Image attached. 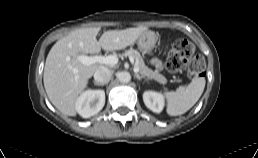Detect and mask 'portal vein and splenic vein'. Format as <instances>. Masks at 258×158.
I'll list each match as a JSON object with an SVG mask.
<instances>
[{
	"instance_id": "obj_1",
	"label": "portal vein and splenic vein",
	"mask_w": 258,
	"mask_h": 158,
	"mask_svg": "<svg viewBox=\"0 0 258 158\" xmlns=\"http://www.w3.org/2000/svg\"><path fill=\"white\" fill-rule=\"evenodd\" d=\"M130 61L134 63V59L132 56L129 57ZM79 61L85 65H91L95 63L99 64H105V65H110L113 66L118 63V58L114 55H109V56H101V55H96V56H87V55H80L78 57ZM133 70L135 73L139 72V68L137 67L136 63L134 64Z\"/></svg>"
}]
</instances>
